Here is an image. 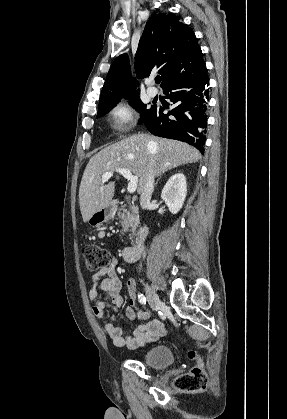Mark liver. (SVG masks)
<instances>
[{
    "label": "liver",
    "mask_w": 287,
    "mask_h": 419,
    "mask_svg": "<svg viewBox=\"0 0 287 419\" xmlns=\"http://www.w3.org/2000/svg\"><path fill=\"white\" fill-rule=\"evenodd\" d=\"M200 158V152L193 146L149 134H135L111 144L89 160L82 176L79 204L83 221L87 222L112 201L115 182L104 185V173L118 168L128 169L138 177V193H141L150 167L155 176H159L172 168L195 163Z\"/></svg>",
    "instance_id": "liver-1"
}]
</instances>
